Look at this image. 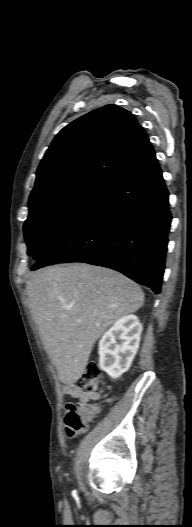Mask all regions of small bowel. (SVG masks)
<instances>
[{"label": "small bowel", "instance_id": "1", "mask_svg": "<svg viewBox=\"0 0 192 527\" xmlns=\"http://www.w3.org/2000/svg\"><path fill=\"white\" fill-rule=\"evenodd\" d=\"M65 391L68 395L72 397H77L84 403H87L90 400H95L99 396L97 393H94V392H85L75 384L66 385Z\"/></svg>", "mask_w": 192, "mask_h": 527}]
</instances>
